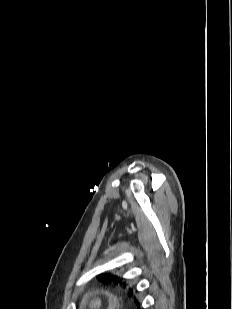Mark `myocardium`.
Instances as JSON below:
<instances>
[{
	"mask_svg": "<svg viewBox=\"0 0 232 309\" xmlns=\"http://www.w3.org/2000/svg\"><path fill=\"white\" fill-rule=\"evenodd\" d=\"M88 309H101L103 306V299L98 294H91L86 301Z\"/></svg>",
	"mask_w": 232,
	"mask_h": 309,
	"instance_id": "1",
	"label": "myocardium"
}]
</instances>
